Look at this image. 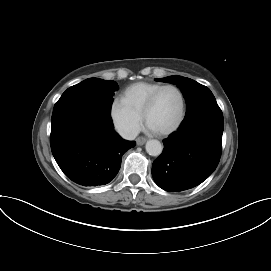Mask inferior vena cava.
I'll use <instances>...</instances> for the list:
<instances>
[{
    "instance_id": "inferior-vena-cava-1",
    "label": "inferior vena cava",
    "mask_w": 271,
    "mask_h": 271,
    "mask_svg": "<svg viewBox=\"0 0 271 271\" xmlns=\"http://www.w3.org/2000/svg\"><path fill=\"white\" fill-rule=\"evenodd\" d=\"M138 133H139L138 130L128 129V130L123 131L121 133V136L126 140H134L137 137Z\"/></svg>"
}]
</instances>
